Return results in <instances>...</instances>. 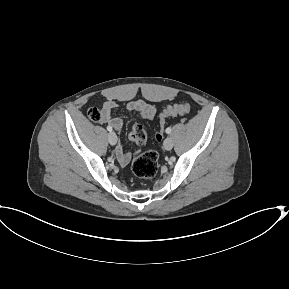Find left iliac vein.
<instances>
[{"instance_id": "1", "label": "left iliac vein", "mask_w": 289, "mask_h": 289, "mask_svg": "<svg viewBox=\"0 0 289 289\" xmlns=\"http://www.w3.org/2000/svg\"><path fill=\"white\" fill-rule=\"evenodd\" d=\"M166 150H171L173 148V141L170 137H167L163 144Z\"/></svg>"}]
</instances>
